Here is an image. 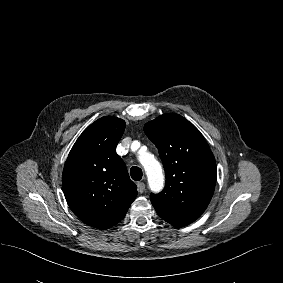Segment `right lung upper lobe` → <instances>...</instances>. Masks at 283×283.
I'll use <instances>...</instances> for the list:
<instances>
[{
  "label": "right lung upper lobe",
  "instance_id": "1",
  "mask_svg": "<svg viewBox=\"0 0 283 283\" xmlns=\"http://www.w3.org/2000/svg\"><path fill=\"white\" fill-rule=\"evenodd\" d=\"M125 122L102 117L87 127L66 160L62 186L68 205L89 226L104 230L123 219L137 196L116 146Z\"/></svg>",
  "mask_w": 283,
  "mask_h": 283
}]
</instances>
